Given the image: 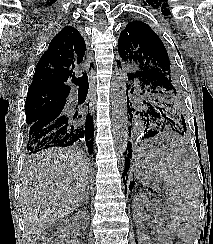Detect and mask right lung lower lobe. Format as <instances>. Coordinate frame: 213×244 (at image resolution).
Returning a JSON list of instances; mask_svg holds the SVG:
<instances>
[{"mask_svg":"<svg viewBox=\"0 0 213 244\" xmlns=\"http://www.w3.org/2000/svg\"><path fill=\"white\" fill-rule=\"evenodd\" d=\"M81 115L66 114L64 108L56 109L35 121L26 133L27 153L35 154L50 147H67L84 142L89 154L93 152V119L79 123Z\"/></svg>","mask_w":213,"mask_h":244,"instance_id":"right-lung-lower-lobe-1","label":"right lung lower lobe"}]
</instances>
